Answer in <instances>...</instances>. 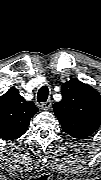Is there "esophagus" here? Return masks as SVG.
Returning <instances> with one entry per match:
<instances>
[{
	"instance_id": "esophagus-1",
	"label": "esophagus",
	"mask_w": 101,
	"mask_h": 180,
	"mask_svg": "<svg viewBox=\"0 0 101 180\" xmlns=\"http://www.w3.org/2000/svg\"><path fill=\"white\" fill-rule=\"evenodd\" d=\"M41 109L43 110H49L52 107L51 101H47L40 104Z\"/></svg>"
}]
</instances>
